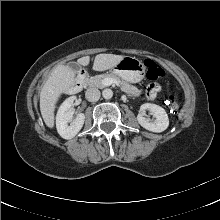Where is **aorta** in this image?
<instances>
[{
  "label": "aorta",
  "instance_id": "aorta-1",
  "mask_svg": "<svg viewBox=\"0 0 220 220\" xmlns=\"http://www.w3.org/2000/svg\"><path fill=\"white\" fill-rule=\"evenodd\" d=\"M102 95L105 99H111L113 97V91L111 89H104Z\"/></svg>",
  "mask_w": 220,
  "mask_h": 220
}]
</instances>
